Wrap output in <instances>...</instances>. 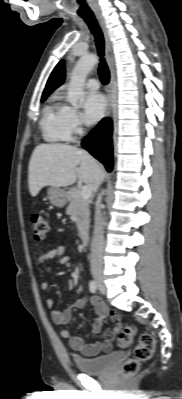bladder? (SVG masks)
Instances as JSON below:
<instances>
[{
  "instance_id": "1",
  "label": "bladder",
  "mask_w": 182,
  "mask_h": 399,
  "mask_svg": "<svg viewBox=\"0 0 182 399\" xmlns=\"http://www.w3.org/2000/svg\"><path fill=\"white\" fill-rule=\"evenodd\" d=\"M122 357L123 353L121 351H115L94 358L76 356L74 357V363L83 374H104Z\"/></svg>"
}]
</instances>
